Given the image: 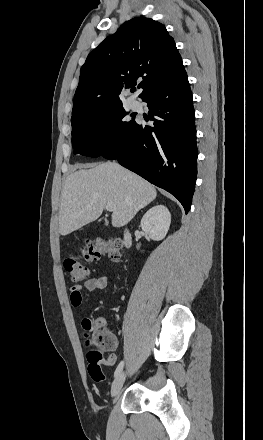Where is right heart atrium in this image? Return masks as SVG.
I'll return each mask as SVG.
<instances>
[{
  "instance_id": "d8ad5b80",
  "label": "right heart atrium",
  "mask_w": 263,
  "mask_h": 440,
  "mask_svg": "<svg viewBox=\"0 0 263 440\" xmlns=\"http://www.w3.org/2000/svg\"><path fill=\"white\" fill-rule=\"evenodd\" d=\"M108 128H109L108 126H105V130H106V131L108 130Z\"/></svg>"
}]
</instances>
